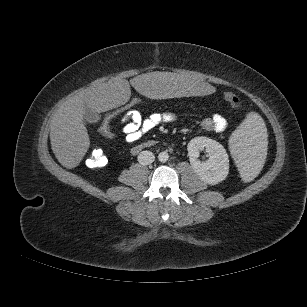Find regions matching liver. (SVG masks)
<instances>
[{"mask_svg": "<svg viewBox=\"0 0 307 307\" xmlns=\"http://www.w3.org/2000/svg\"><path fill=\"white\" fill-rule=\"evenodd\" d=\"M135 90L150 98H176L215 94V83L203 76L187 73L152 72L140 74L130 81ZM127 80L109 81L89 87L65 101L51 120L50 141L59 163L67 169L79 165L89 146L90 139L83 123L87 108L101 113L125 104L130 98Z\"/></svg>", "mask_w": 307, "mask_h": 307, "instance_id": "liver-1", "label": "liver"}]
</instances>
